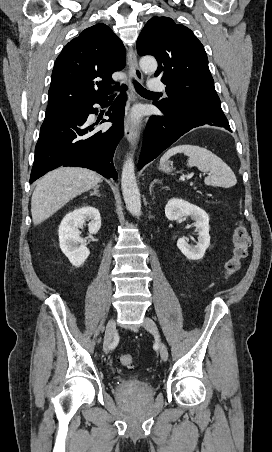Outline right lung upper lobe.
Instances as JSON below:
<instances>
[{"label":"right lung upper lobe","mask_w":272,"mask_h":452,"mask_svg":"<svg viewBox=\"0 0 272 452\" xmlns=\"http://www.w3.org/2000/svg\"><path fill=\"white\" fill-rule=\"evenodd\" d=\"M125 66L122 41L105 24H96L71 40L56 59L46 114L70 112L106 97L111 75Z\"/></svg>","instance_id":"1"}]
</instances>
